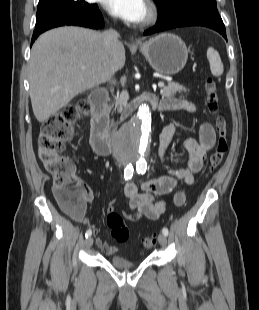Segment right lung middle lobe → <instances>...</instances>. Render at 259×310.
I'll return each instance as SVG.
<instances>
[{"label": "right lung middle lobe", "mask_w": 259, "mask_h": 310, "mask_svg": "<svg viewBox=\"0 0 259 310\" xmlns=\"http://www.w3.org/2000/svg\"><path fill=\"white\" fill-rule=\"evenodd\" d=\"M96 7L84 0H39L35 26L55 16H78Z\"/></svg>", "instance_id": "1"}]
</instances>
